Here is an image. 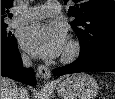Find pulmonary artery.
<instances>
[{
    "mask_svg": "<svg viewBox=\"0 0 115 99\" xmlns=\"http://www.w3.org/2000/svg\"><path fill=\"white\" fill-rule=\"evenodd\" d=\"M61 12V6L57 1H48L44 5L24 11L12 20L11 25L17 26L28 22L39 20L46 16L57 15Z\"/></svg>",
    "mask_w": 115,
    "mask_h": 99,
    "instance_id": "1",
    "label": "pulmonary artery"
}]
</instances>
